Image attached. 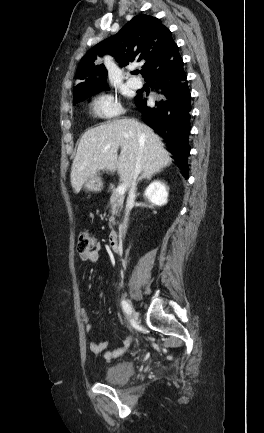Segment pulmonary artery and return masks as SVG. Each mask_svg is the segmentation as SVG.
<instances>
[{"mask_svg":"<svg viewBox=\"0 0 264 433\" xmlns=\"http://www.w3.org/2000/svg\"><path fill=\"white\" fill-rule=\"evenodd\" d=\"M127 84L129 87L133 88V89H139L142 86V83L140 80L136 79V78H130L127 80Z\"/></svg>","mask_w":264,"mask_h":433,"instance_id":"e3ab8cb5","label":"pulmonary artery"}]
</instances>
